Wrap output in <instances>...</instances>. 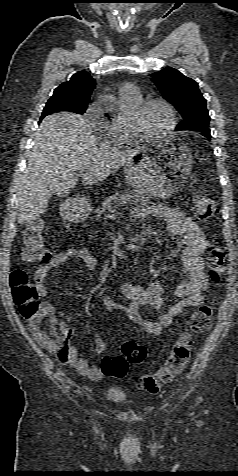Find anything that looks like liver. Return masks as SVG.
Returning <instances> with one entry per match:
<instances>
[{
    "label": "liver",
    "instance_id": "6515ba94",
    "mask_svg": "<svg viewBox=\"0 0 238 476\" xmlns=\"http://www.w3.org/2000/svg\"><path fill=\"white\" fill-rule=\"evenodd\" d=\"M143 149L120 150L102 142L81 115L46 116L35 133L34 146L18 188V223L24 224L47 210L53 193L64 196L77 184L101 182L133 160Z\"/></svg>",
    "mask_w": 238,
    "mask_h": 476
}]
</instances>
